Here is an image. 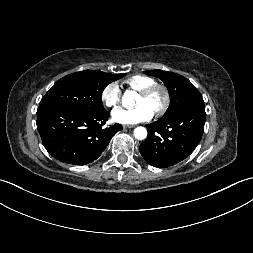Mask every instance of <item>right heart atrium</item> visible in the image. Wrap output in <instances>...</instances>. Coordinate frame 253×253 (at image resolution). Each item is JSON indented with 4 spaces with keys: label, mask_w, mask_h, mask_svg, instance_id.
Segmentation results:
<instances>
[{
    "label": "right heart atrium",
    "mask_w": 253,
    "mask_h": 253,
    "mask_svg": "<svg viewBox=\"0 0 253 253\" xmlns=\"http://www.w3.org/2000/svg\"><path fill=\"white\" fill-rule=\"evenodd\" d=\"M122 97V91L118 83L111 82L104 86L101 91V101L108 108H116Z\"/></svg>",
    "instance_id": "d8ad5b80"
}]
</instances>
